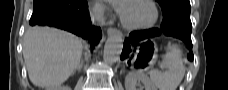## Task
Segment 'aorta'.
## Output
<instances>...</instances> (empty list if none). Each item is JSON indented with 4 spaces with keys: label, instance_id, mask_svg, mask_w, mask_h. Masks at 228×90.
<instances>
[{
    "label": "aorta",
    "instance_id": "1",
    "mask_svg": "<svg viewBox=\"0 0 228 90\" xmlns=\"http://www.w3.org/2000/svg\"><path fill=\"white\" fill-rule=\"evenodd\" d=\"M123 48V39L120 33L111 35L104 46L103 60L107 64H113L120 58Z\"/></svg>",
    "mask_w": 228,
    "mask_h": 90
}]
</instances>
